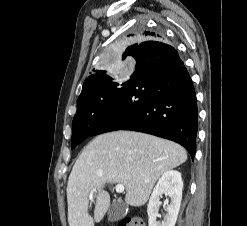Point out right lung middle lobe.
I'll use <instances>...</instances> for the list:
<instances>
[{"label":"right lung middle lobe","instance_id":"1","mask_svg":"<svg viewBox=\"0 0 247 226\" xmlns=\"http://www.w3.org/2000/svg\"><path fill=\"white\" fill-rule=\"evenodd\" d=\"M126 57L123 54V59ZM98 71V83L81 94L72 123V148L91 136L94 129L116 101L122 91L119 78H108V73Z\"/></svg>","mask_w":247,"mask_h":226}]
</instances>
